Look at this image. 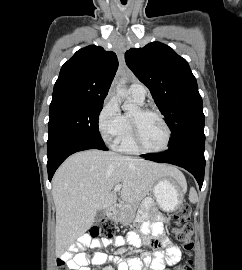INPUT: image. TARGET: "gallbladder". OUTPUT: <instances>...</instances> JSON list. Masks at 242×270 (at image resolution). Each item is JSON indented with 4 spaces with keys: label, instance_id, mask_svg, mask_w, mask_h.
Listing matches in <instances>:
<instances>
[{
    "label": "gallbladder",
    "instance_id": "obj_1",
    "mask_svg": "<svg viewBox=\"0 0 242 270\" xmlns=\"http://www.w3.org/2000/svg\"><path fill=\"white\" fill-rule=\"evenodd\" d=\"M106 212L105 210H99L95 216V223H99L105 218Z\"/></svg>",
    "mask_w": 242,
    "mask_h": 270
}]
</instances>
